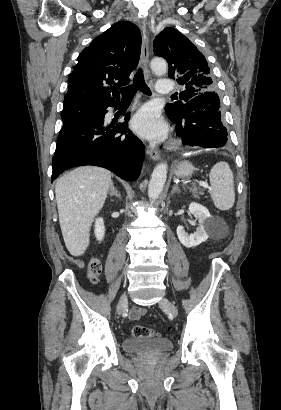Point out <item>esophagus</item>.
I'll return each instance as SVG.
<instances>
[{
    "mask_svg": "<svg viewBox=\"0 0 281 410\" xmlns=\"http://www.w3.org/2000/svg\"><path fill=\"white\" fill-rule=\"evenodd\" d=\"M141 35H142V48H141V64L144 70L145 78L150 79V70H149V37L146 27V22L143 20L140 26ZM151 159L157 161L160 159V153L154 148H148L147 150Z\"/></svg>",
    "mask_w": 281,
    "mask_h": 410,
    "instance_id": "1",
    "label": "esophagus"
}]
</instances>
